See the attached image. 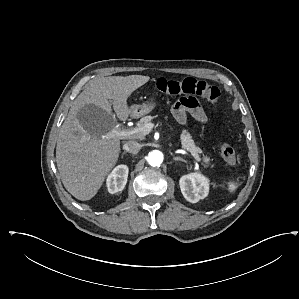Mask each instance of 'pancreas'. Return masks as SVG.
<instances>
[{
  "label": "pancreas",
  "instance_id": "obj_1",
  "mask_svg": "<svg viewBox=\"0 0 299 299\" xmlns=\"http://www.w3.org/2000/svg\"><path fill=\"white\" fill-rule=\"evenodd\" d=\"M153 116H145L143 118L140 119V121L137 123V127L136 128H144L145 125H147L148 123H151V121L153 120ZM144 137V135H138V136H135L134 138H140L142 139ZM180 139H181V144H182V147L184 149H186L187 151L191 152V154L197 159V160H200V156L199 154L202 152L201 149L199 147H197L195 145V142L194 140L192 139L191 135L186 132L185 130L181 133L180 135ZM203 161L205 163H208L209 161V158L207 157H204L203 158Z\"/></svg>",
  "mask_w": 299,
  "mask_h": 299
}]
</instances>
